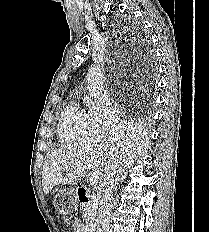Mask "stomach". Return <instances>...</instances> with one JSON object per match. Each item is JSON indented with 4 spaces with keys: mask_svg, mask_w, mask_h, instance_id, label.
<instances>
[{
    "mask_svg": "<svg viewBox=\"0 0 209 232\" xmlns=\"http://www.w3.org/2000/svg\"><path fill=\"white\" fill-rule=\"evenodd\" d=\"M53 203H56L55 211L58 214H76L75 206H79V191H58L56 197L53 198ZM69 221H74V216L68 217Z\"/></svg>",
    "mask_w": 209,
    "mask_h": 232,
    "instance_id": "stomach-1",
    "label": "stomach"
}]
</instances>
